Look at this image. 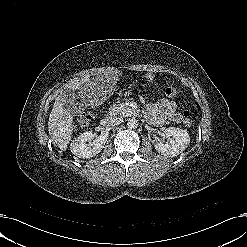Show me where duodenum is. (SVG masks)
<instances>
[{"label":"duodenum","mask_w":247,"mask_h":247,"mask_svg":"<svg viewBox=\"0 0 247 247\" xmlns=\"http://www.w3.org/2000/svg\"><path fill=\"white\" fill-rule=\"evenodd\" d=\"M112 120V116L111 115H107L104 117V119L102 120V126H107Z\"/></svg>","instance_id":"410a0bca"}]
</instances>
